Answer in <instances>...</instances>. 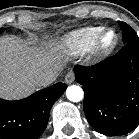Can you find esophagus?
<instances>
[{"instance_id":"34e87169","label":"esophagus","mask_w":139,"mask_h":139,"mask_svg":"<svg viewBox=\"0 0 139 139\" xmlns=\"http://www.w3.org/2000/svg\"><path fill=\"white\" fill-rule=\"evenodd\" d=\"M74 80H75V74H74V72L71 70V71H69V72L66 74V76H65V82H66L67 84H71V83L74 82Z\"/></svg>"}]
</instances>
